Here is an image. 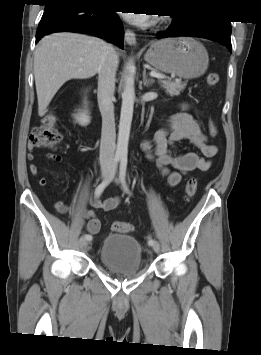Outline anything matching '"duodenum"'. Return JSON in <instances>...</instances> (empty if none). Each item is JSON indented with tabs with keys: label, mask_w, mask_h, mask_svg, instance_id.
I'll return each mask as SVG.
<instances>
[{
	"label": "duodenum",
	"mask_w": 261,
	"mask_h": 355,
	"mask_svg": "<svg viewBox=\"0 0 261 355\" xmlns=\"http://www.w3.org/2000/svg\"><path fill=\"white\" fill-rule=\"evenodd\" d=\"M88 90H84L83 91V96H84V101H85V104L88 106L89 105V101H88Z\"/></svg>",
	"instance_id": "obj_1"
}]
</instances>
